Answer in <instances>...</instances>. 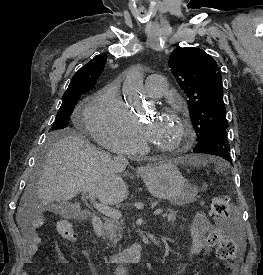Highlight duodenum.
I'll return each instance as SVG.
<instances>
[{"label": "duodenum", "instance_id": "obj_1", "mask_svg": "<svg viewBox=\"0 0 263 275\" xmlns=\"http://www.w3.org/2000/svg\"><path fill=\"white\" fill-rule=\"evenodd\" d=\"M92 226L96 236H100L103 229L102 218L98 215H94L92 217ZM141 250V245L139 243H135L124 251L111 255L109 257V263L118 267H122L130 263H137L141 257Z\"/></svg>", "mask_w": 263, "mask_h": 275}]
</instances>
